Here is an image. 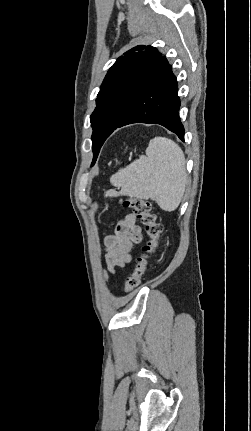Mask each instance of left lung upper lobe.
I'll list each match as a JSON object with an SVG mask.
<instances>
[{
  "label": "left lung upper lobe",
  "instance_id": "obj_1",
  "mask_svg": "<svg viewBox=\"0 0 251 431\" xmlns=\"http://www.w3.org/2000/svg\"><path fill=\"white\" fill-rule=\"evenodd\" d=\"M161 55L154 47L137 46L120 56L109 69L90 117L93 163Z\"/></svg>",
  "mask_w": 251,
  "mask_h": 431
}]
</instances>
